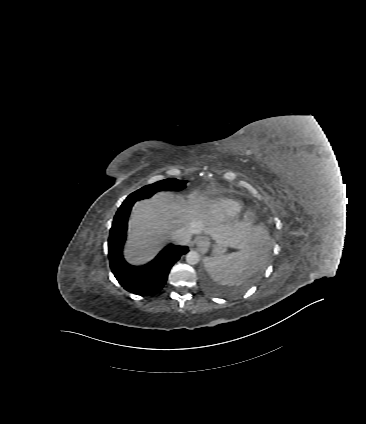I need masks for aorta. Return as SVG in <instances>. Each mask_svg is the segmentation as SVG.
Listing matches in <instances>:
<instances>
[{
	"instance_id": "obj_1",
	"label": "aorta",
	"mask_w": 366,
	"mask_h": 424,
	"mask_svg": "<svg viewBox=\"0 0 366 424\" xmlns=\"http://www.w3.org/2000/svg\"><path fill=\"white\" fill-rule=\"evenodd\" d=\"M200 261V255L197 251H189L186 255V262L190 265H196Z\"/></svg>"
}]
</instances>
